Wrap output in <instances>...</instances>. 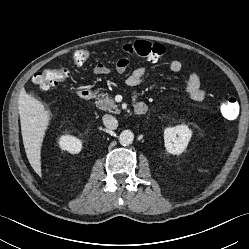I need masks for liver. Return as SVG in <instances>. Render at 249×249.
<instances>
[{
  "label": "liver",
  "instance_id": "6515ba94",
  "mask_svg": "<svg viewBox=\"0 0 249 249\" xmlns=\"http://www.w3.org/2000/svg\"><path fill=\"white\" fill-rule=\"evenodd\" d=\"M18 104L25 152L31 167L41 177V148L51 112L44 103L25 91L21 92Z\"/></svg>",
  "mask_w": 249,
  "mask_h": 249
}]
</instances>
